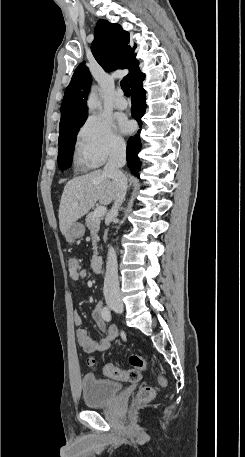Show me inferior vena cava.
I'll return each mask as SVG.
<instances>
[{
	"label": "inferior vena cava",
	"instance_id": "602c4592",
	"mask_svg": "<svg viewBox=\"0 0 245 457\" xmlns=\"http://www.w3.org/2000/svg\"><path fill=\"white\" fill-rule=\"evenodd\" d=\"M126 162V144L124 140L122 142H116L112 148V152L109 156L107 164L104 166L103 172L111 176L115 180L117 188V196L115 202L109 212V216L114 218L118 214V208L124 200L127 188V178L120 170L121 166H124ZM104 293L105 297H112V295H119V281H118V265L117 257L114 249L110 247L108 251L106 273L104 279Z\"/></svg>",
	"mask_w": 245,
	"mask_h": 457
}]
</instances>
